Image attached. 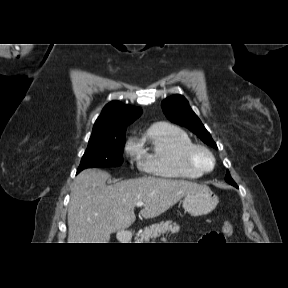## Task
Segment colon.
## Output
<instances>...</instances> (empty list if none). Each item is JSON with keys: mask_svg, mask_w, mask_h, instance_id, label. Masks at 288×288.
Returning <instances> with one entry per match:
<instances>
[{"mask_svg": "<svg viewBox=\"0 0 288 288\" xmlns=\"http://www.w3.org/2000/svg\"><path fill=\"white\" fill-rule=\"evenodd\" d=\"M233 233V226L226 222L222 225L221 231L219 233H212L209 235V242H222L226 237H229Z\"/></svg>", "mask_w": 288, "mask_h": 288, "instance_id": "5ec220e1", "label": "colon"}]
</instances>
